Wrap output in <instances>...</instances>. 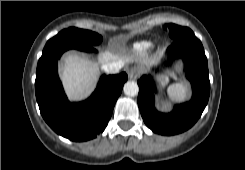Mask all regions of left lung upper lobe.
<instances>
[{
  "label": "left lung upper lobe",
  "mask_w": 245,
  "mask_h": 170,
  "mask_svg": "<svg viewBox=\"0 0 245 170\" xmlns=\"http://www.w3.org/2000/svg\"><path fill=\"white\" fill-rule=\"evenodd\" d=\"M169 30V35L174 40H183L195 44H202L194 33L187 27H181L175 24H169L166 26Z\"/></svg>",
  "instance_id": "1"
}]
</instances>
